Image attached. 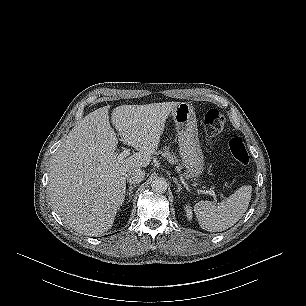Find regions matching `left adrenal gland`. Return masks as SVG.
<instances>
[{"label": "left adrenal gland", "instance_id": "1", "mask_svg": "<svg viewBox=\"0 0 306 306\" xmlns=\"http://www.w3.org/2000/svg\"><path fill=\"white\" fill-rule=\"evenodd\" d=\"M173 181L175 182V184L177 185V192L180 193L182 191V186L181 184L178 182V180L176 178H173Z\"/></svg>", "mask_w": 306, "mask_h": 306}]
</instances>
